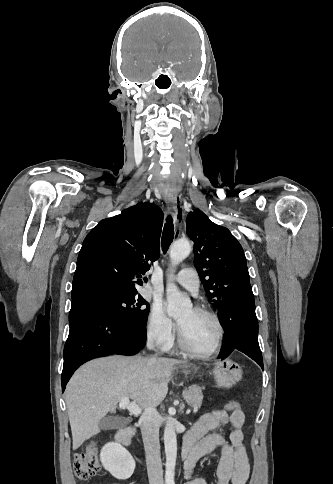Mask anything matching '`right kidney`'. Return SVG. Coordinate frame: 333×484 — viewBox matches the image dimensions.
Returning a JSON list of instances; mask_svg holds the SVG:
<instances>
[{"label": "right kidney", "mask_w": 333, "mask_h": 484, "mask_svg": "<svg viewBox=\"0 0 333 484\" xmlns=\"http://www.w3.org/2000/svg\"><path fill=\"white\" fill-rule=\"evenodd\" d=\"M103 467L116 479L130 478L135 469L132 455L119 443L110 442L103 446L100 453Z\"/></svg>", "instance_id": "1"}]
</instances>
